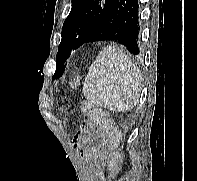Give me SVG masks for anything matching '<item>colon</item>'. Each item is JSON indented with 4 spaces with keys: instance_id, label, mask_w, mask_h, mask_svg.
<instances>
[{
    "instance_id": "obj_1",
    "label": "colon",
    "mask_w": 197,
    "mask_h": 181,
    "mask_svg": "<svg viewBox=\"0 0 197 181\" xmlns=\"http://www.w3.org/2000/svg\"><path fill=\"white\" fill-rule=\"evenodd\" d=\"M81 110L86 120L95 126V128L107 138L110 147L112 148V154L109 158L108 166L111 173H115L118 170L119 156L116 152V147L120 141V131L109 120L105 110L93 106L90 103L84 102L81 105Z\"/></svg>"
}]
</instances>
